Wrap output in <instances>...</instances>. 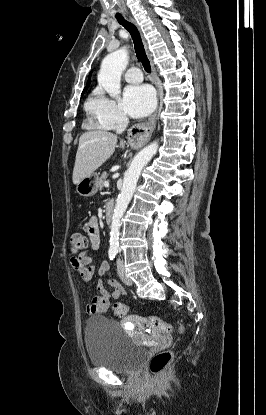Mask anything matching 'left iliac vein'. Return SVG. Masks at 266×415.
<instances>
[{
	"label": "left iliac vein",
	"mask_w": 266,
	"mask_h": 415,
	"mask_svg": "<svg viewBox=\"0 0 266 415\" xmlns=\"http://www.w3.org/2000/svg\"><path fill=\"white\" fill-rule=\"evenodd\" d=\"M117 271H118V274H119L120 279L122 280V282L124 284H126V285H132L133 282L126 275L123 262L120 259H118V261H117Z\"/></svg>",
	"instance_id": "4c4485c4"
}]
</instances>
